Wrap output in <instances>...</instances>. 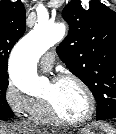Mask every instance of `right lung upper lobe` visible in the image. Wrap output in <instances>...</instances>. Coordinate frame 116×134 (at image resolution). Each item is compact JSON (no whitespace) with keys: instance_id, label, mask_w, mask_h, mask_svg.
<instances>
[{"instance_id":"cb5924a9","label":"right lung upper lobe","mask_w":116,"mask_h":134,"mask_svg":"<svg viewBox=\"0 0 116 134\" xmlns=\"http://www.w3.org/2000/svg\"><path fill=\"white\" fill-rule=\"evenodd\" d=\"M25 32V8L18 0L0 1V75L7 74L11 49Z\"/></svg>"}]
</instances>
